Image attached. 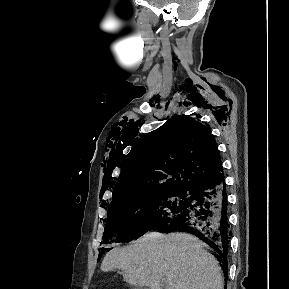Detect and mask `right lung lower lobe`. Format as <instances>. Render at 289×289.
<instances>
[{"label":"right lung lower lobe","mask_w":289,"mask_h":289,"mask_svg":"<svg viewBox=\"0 0 289 289\" xmlns=\"http://www.w3.org/2000/svg\"><path fill=\"white\" fill-rule=\"evenodd\" d=\"M190 195V201L182 212L154 230L165 233L184 231L197 236L214 250L227 279L231 231L223 172L195 185Z\"/></svg>","instance_id":"right-lung-lower-lobe-1"}]
</instances>
